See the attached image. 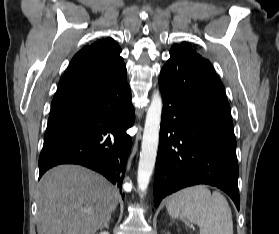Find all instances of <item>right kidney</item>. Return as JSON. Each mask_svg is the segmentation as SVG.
Here are the masks:
<instances>
[{
  "label": "right kidney",
  "instance_id": "1",
  "mask_svg": "<svg viewBox=\"0 0 279 234\" xmlns=\"http://www.w3.org/2000/svg\"><path fill=\"white\" fill-rule=\"evenodd\" d=\"M99 234H109V232L108 231H102Z\"/></svg>",
  "mask_w": 279,
  "mask_h": 234
}]
</instances>
